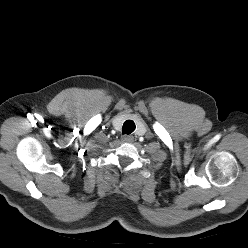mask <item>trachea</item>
<instances>
[{"label":"trachea","mask_w":248,"mask_h":248,"mask_svg":"<svg viewBox=\"0 0 248 248\" xmlns=\"http://www.w3.org/2000/svg\"><path fill=\"white\" fill-rule=\"evenodd\" d=\"M135 128V123L132 120H126L123 124V134H131Z\"/></svg>","instance_id":"obj_1"}]
</instances>
